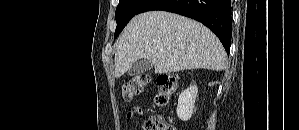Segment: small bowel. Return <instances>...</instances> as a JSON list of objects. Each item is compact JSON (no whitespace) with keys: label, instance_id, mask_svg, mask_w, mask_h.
<instances>
[{"label":"small bowel","instance_id":"1","mask_svg":"<svg viewBox=\"0 0 299 130\" xmlns=\"http://www.w3.org/2000/svg\"><path fill=\"white\" fill-rule=\"evenodd\" d=\"M143 114V109L141 107L135 106L131 109L127 114V119L132 120L136 116H140Z\"/></svg>","mask_w":299,"mask_h":130}]
</instances>
